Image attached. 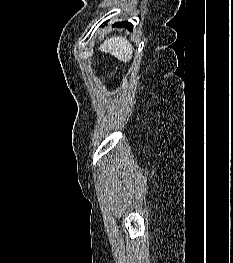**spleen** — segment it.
Here are the masks:
<instances>
[{"mask_svg":"<svg viewBox=\"0 0 233 263\" xmlns=\"http://www.w3.org/2000/svg\"><path fill=\"white\" fill-rule=\"evenodd\" d=\"M99 50L104 53H109L122 62H129L133 55V46L122 36H114L106 39L99 46Z\"/></svg>","mask_w":233,"mask_h":263,"instance_id":"3e777b00","label":"spleen"}]
</instances>
